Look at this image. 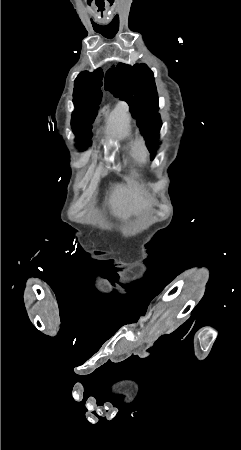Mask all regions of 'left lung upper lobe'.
<instances>
[{
    "mask_svg": "<svg viewBox=\"0 0 241 450\" xmlns=\"http://www.w3.org/2000/svg\"><path fill=\"white\" fill-rule=\"evenodd\" d=\"M105 89L115 97L124 100L130 106V112L138 122L146 145L154 159L158 134L161 128L158 113V94L154 74L145 64L134 66L118 63L109 69L105 77Z\"/></svg>",
    "mask_w": 241,
    "mask_h": 450,
    "instance_id": "5c2ea615",
    "label": "left lung upper lobe"
}]
</instances>
